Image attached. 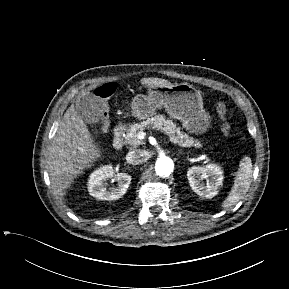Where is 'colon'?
<instances>
[{
    "label": "colon",
    "mask_w": 289,
    "mask_h": 289,
    "mask_svg": "<svg viewBox=\"0 0 289 289\" xmlns=\"http://www.w3.org/2000/svg\"><path fill=\"white\" fill-rule=\"evenodd\" d=\"M117 85L114 82L105 83L97 87L94 91L95 96L100 101V108L102 114V122L104 125L108 123L109 103L108 100L115 93ZM216 112L222 122L221 129L225 135L231 133V125L228 122V108L224 102H218L215 106Z\"/></svg>",
    "instance_id": "obj_1"
}]
</instances>
